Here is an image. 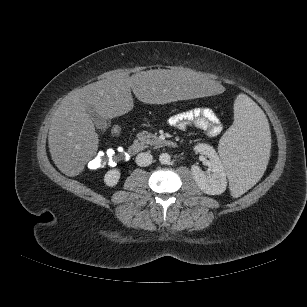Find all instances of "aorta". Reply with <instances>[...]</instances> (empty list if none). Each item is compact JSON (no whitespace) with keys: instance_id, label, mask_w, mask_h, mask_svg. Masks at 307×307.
I'll return each mask as SVG.
<instances>
[{"instance_id":"1","label":"aorta","mask_w":307,"mask_h":307,"mask_svg":"<svg viewBox=\"0 0 307 307\" xmlns=\"http://www.w3.org/2000/svg\"><path fill=\"white\" fill-rule=\"evenodd\" d=\"M171 160V156L168 153H162L159 156V161L161 164H169Z\"/></svg>"}]
</instances>
